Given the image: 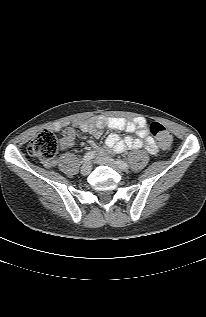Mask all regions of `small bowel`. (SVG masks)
I'll list each match as a JSON object with an SVG mask.
<instances>
[{
	"instance_id": "obj_1",
	"label": "small bowel",
	"mask_w": 206,
	"mask_h": 317,
	"mask_svg": "<svg viewBox=\"0 0 206 317\" xmlns=\"http://www.w3.org/2000/svg\"><path fill=\"white\" fill-rule=\"evenodd\" d=\"M83 132L92 134L95 138H99L102 134V129L108 128L113 131L106 138V146L115 153H122L128 149L145 148L150 154L155 155L158 152V147L152 137L149 136L146 128V121L143 118H135L133 120H126L119 117H105L97 116L88 120H83L74 123ZM126 131L128 133H135L137 137L126 136L120 138L116 132ZM74 143V130L68 129L60 140V147L62 149L69 148ZM89 145L94 150L102 154L104 150L96 145L92 140L88 141ZM57 164L56 161L46 162V166L53 167Z\"/></svg>"
}]
</instances>
